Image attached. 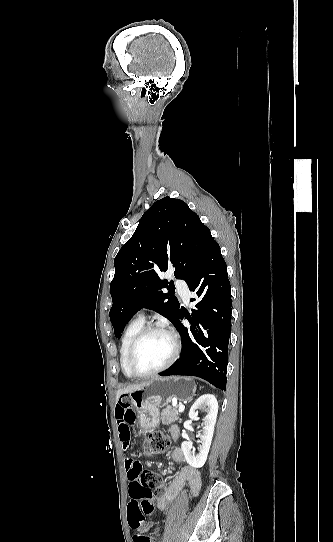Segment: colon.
<instances>
[{
    "mask_svg": "<svg viewBox=\"0 0 333 542\" xmlns=\"http://www.w3.org/2000/svg\"><path fill=\"white\" fill-rule=\"evenodd\" d=\"M170 439L161 431H156L149 434L142 448L149 456L159 455L168 449ZM124 465L129 469L126 477L130 481L136 480L135 483H129L127 491L130 494L129 502L137 503L139 500L145 501L152 497V489L161 485V477L157 473L141 468L137 458H126ZM154 512L152 505H129L127 508L128 521L132 525H145L149 523V516ZM138 541H144L143 537H138Z\"/></svg>",
    "mask_w": 333,
    "mask_h": 542,
    "instance_id": "obj_1",
    "label": "colon"
}]
</instances>
